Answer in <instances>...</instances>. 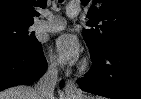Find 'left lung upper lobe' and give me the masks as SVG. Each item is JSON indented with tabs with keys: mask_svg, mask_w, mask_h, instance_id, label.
Returning <instances> with one entry per match:
<instances>
[{
	"mask_svg": "<svg viewBox=\"0 0 141 99\" xmlns=\"http://www.w3.org/2000/svg\"><path fill=\"white\" fill-rule=\"evenodd\" d=\"M88 10L89 29L83 30L91 53L117 43L141 45L140 0H81Z\"/></svg>",
	"mask_w": 141,
	"mask_h": 99,
	"instance_id": "5c2ea615",
	"label": "left lung upper lobe"
}]
</instances>
